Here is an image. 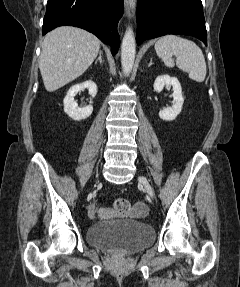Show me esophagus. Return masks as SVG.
<instances>
[{
	"mask_svg": "<svg viewBox=\"0 0 240 287\" xmlns=\"http://www.w3.org/2000/svg\"><path fill=\"white\" fill-rule=\"evenodd\" d=\"M124 3H125V11L127 15L134 16L135 7H136L135 0H124Z\"/></svg>",
	"mask_w": 240,
	"mask_h": 287,
	"instance_id": "34e87169",
	"label": "esophagus"
}]
</instances>
